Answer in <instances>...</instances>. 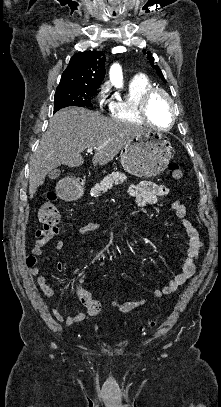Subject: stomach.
<instances>
[{"label":"stomach","mask_w":221,"mask_h":407,"mask_svg":"<svg viewBox=\"0 0 221 407\" xmlns=\"http://www.w3.org/2000/svg\"><path fill=\"white\" fill-rule=\"evenodd\" d=\"M172 157L169 139L159 132L145 131L126 144L120 153L123 169L137 177H154L165 170ZM83 189L77 184L66 188L68 201L79 199Z\"/></svg>","instance_id":"0dacf381"}]
</instances>
